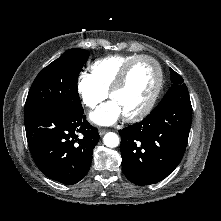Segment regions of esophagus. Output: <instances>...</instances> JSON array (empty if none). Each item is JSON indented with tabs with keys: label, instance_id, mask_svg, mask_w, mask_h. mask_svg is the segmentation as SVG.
Instances as JSON below:
<instances>
[{
	"label": "esophagus",
	"instance_id": "obj_1",
	"mask_svg": "<svg viewBox=\"0 0 221 221\" xmlns=\"http://www.w3.org/2000/svg\"><path fill=\"white\" fill-rule=\"evenodd\" d=\"M108 130L107 129H99V135H104Z\"/></svg>",
	"mask_w": 221,
	"mask_h": 221
}]
</instances>
